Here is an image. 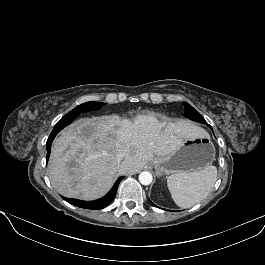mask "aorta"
<instances>
[{
    "instance_id": "762f6f07",
    "label": "aorta",
    "mask_w": 265,
    "mask_h": 265,
    "mask_svg": "<svg viewBox=\"0 0 265 265\" xmlns=\"http://www.w3.org/2000/svg\"><path fill=\"white\" fill-rule=\"evenodd\" d=\"M153 180V176L148 171H143L139 174V181L142 185H149Z\"/></svg>"
}]
</instances>
